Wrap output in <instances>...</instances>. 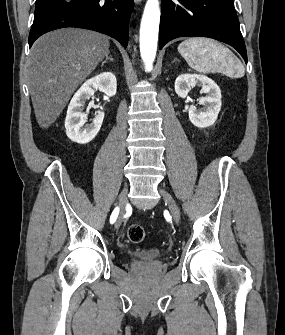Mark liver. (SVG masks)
Returning a JSON list of instances; mask_svg holds the SVG:
<instances>
[{
	"label": "liver",
	"mask_w": 285,
	"mask_h": 335,
	"mask_svg": "<svg viewBox=\"0 0 285 335\" xmlns=\"http://www.w3.org/2000/svg\"><path fill=\"white\" fill-rule=\"evenodd\" d=\"M109 38L80 28H63L33 44L27 66L29 92L40 128L62 114L79 84L109 54Z\"/></svg>",
	"instance_id": "liver-1"
}]
</instances>
